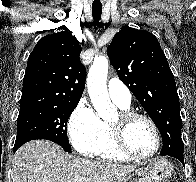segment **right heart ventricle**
Masks as SVG:
<instances>
[{"mask_svg":"<svg viewBox=\"0 0 196 182\" xmlns=\"http://www.w3.org/2000/svg\"><path fill=\"white\" fill-rule=\"evenodd\" d=\"M117 104V103H116ZM121 109L127 110L129 106H122L117 104ZM93 156L110 161H127L128 157L121 154L114 146L109 124L102 122V136L99 144L95 150L91 153Z\"/></svg>","mask_w":196,"mask_h":182,"instance_id":"right-heart-ventricle-1","label":"right heart ventricle"}]
</instances>
